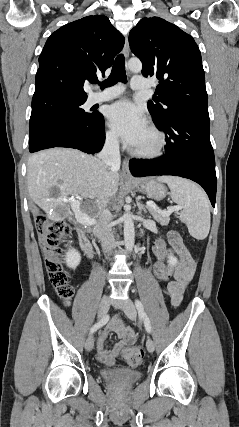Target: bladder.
Instances as JSON below:
<instances>
[{
    "label": "bladder",
    "mask_w": 239,
    "mask_h": 427,
    "mask_svg": "<svg viewBox=\"0 0 239 427\" xmlns=\"http://www.w3.org/2000/svg\"><path fill=\"white\" fill-rule=\"evenodd\" d=\"M101 376L109 382L129 385L138 381L141 377V372L137 370H129L122 368H114L102 370Z\"/></svg>",
    "instance_id": "bladder-1"
}]
</instances>
